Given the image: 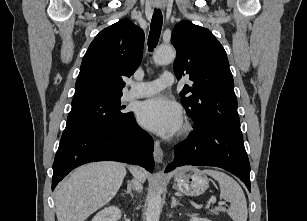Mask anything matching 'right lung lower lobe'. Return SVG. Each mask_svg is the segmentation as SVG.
Wrapping results in <instances>:
<instances>
[{"instance_id":"right-lung-lower-lobe-1","label":"right lung lower lobe","mask_w":307,"mask_h":221,"mask_svg":"<svg viewBox=\"0 0 307 221\" xmlns=\"http://www.w3.org/2000/svg\"><path fill=\"white\" fill-rule=\"evenodd\" d=\"M154 143L130 112L127 117L63 136L53 163L52 190L70 171L89 162L113 160L152 172Z\"/></svg>"}]
</instances>
